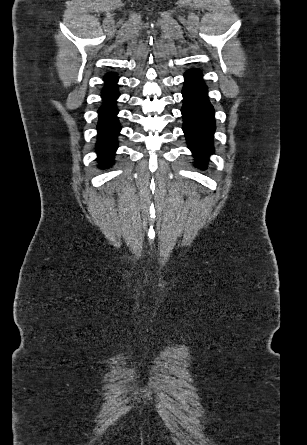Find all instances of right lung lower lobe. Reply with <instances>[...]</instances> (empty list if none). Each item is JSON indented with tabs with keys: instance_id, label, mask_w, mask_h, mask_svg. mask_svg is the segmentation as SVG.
Segmentation results:
<instances>
[{
	"instance_id": "98d812e1",
	"label": "right lung lower lobe",
	"mask_w": 307,
	"mask_h": 445,
	"mask_svg": "<svg viewBox=\"0 0 307 445\" xmlns=\"http://www.w3.org/2000/svg\"><path fill=\"white\" fill-rule=\"evenodd\" d=\"M118 77L115 74H107L105 77V87L102 90L103 105L98 110V141L96 144L98 160L102 167H107L113 163L112 158L117 148V136L120 125L117 120V108L114 106L119 93L116 82Z\"/></svg>"
}]
</instances>
